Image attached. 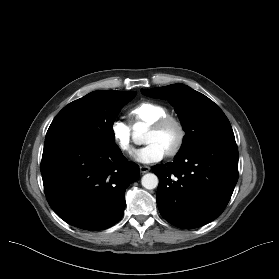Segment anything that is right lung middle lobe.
Returning <instances> with one entry per match:
<instances>
[{
  "instance_id": "dd1d6c3e",
  "label": "right lung middle lobe",
  "mask_w": 279,
  "mask_h": 279,
  "mask_svg": "<svg viewBox=\"0 0 279 279\" xmlns=\"http://www.w3.org/2000/svg\"><path fill=\"white\" fill-rule=\"evenodd\" d=\"M135 95V92L95 91L69 103L52 121L45 144L77 139L104 149L114 147V120Z\"/></svg>"
}]
</instances>
